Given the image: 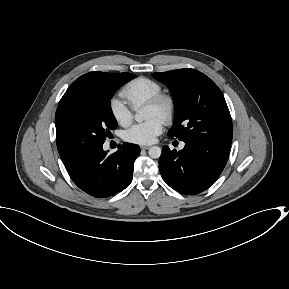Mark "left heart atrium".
Returning a JSON list of instances; mask_svg holds the SVG:
<instances>
[{"mask_svg":"<svg viewBox=\"0 0 289 289\" xmlns=\"http://www.w3.org/2000/svg\"><path fill=\"white\" fill-rule=\"evenodd\" d=\"M163 126L164 121L160 117L154 116L126 130L123 138L125 141L133 144H151L161 134Z\"/></svg>","mask_w":289,"mask_h":289,"instance_id":"1","label":"left heart atrium"}]
</instances>
